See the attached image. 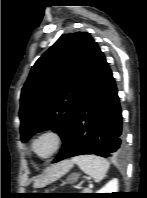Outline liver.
Returning a JSON list of instances; mask_svg holds the SVG:
<instances>
[{
  "instance_id": "1",
  "label": "liver",
  "mask_w": 147,
  "mask_h": 198,
  "mask_svg": "<svg viewBox=\"0 0 147 198\" xmlns=\"http://www.w3.org/2000/svg\"><path fill=\"white\" fill-rule=\"evenodd\" d=\"M74 163H75L74 159L64 160L48 167L45 173L35 180L33 187L34 188L43 187L59 179L61 176L65 175L73 167Z\"/></svg>"
}]
</instances>
